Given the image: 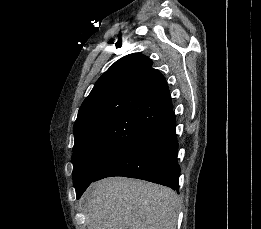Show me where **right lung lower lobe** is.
Masks as SVG:
<instances>
[{"label":"right lung lower lobe","instance_id":"98d812e1","mask_svg":"<svg viewBox=\"0 0 261 229\" xmlns=\"http://www.w3.org/2000/svg\"><path fill=\"white\" fill-rule=\"evenodd\" d=\"M175 126V115L171 112L157 127L103 169L93 181L110 176H125L178 191L180 167L177 162Z\"/></svg>","mask_w":261,"mask_h":229}]
</instances>
